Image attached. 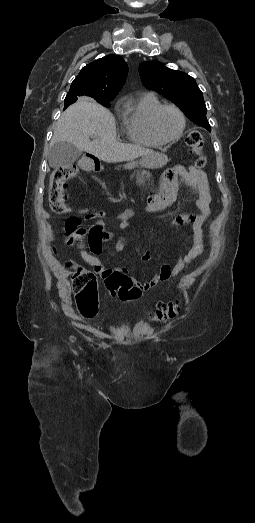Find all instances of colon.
Masks as SVG:
<instances>
[{
    "mask_svg": "<svg viewBox=\"0 0 255 523\" xmlns=\"http://www.w3.org/2000/svg\"><path fill=\"white\" fill-rule=\"evenodd\" d=\"M187 146L198 156L196 166L203 168L207 159L203 155L204 137L198 130H191L186 136ZM77 174V169L73 165L61 166L52 172L49 187V203L50 208L57 214H66L70 211L66 204L65 187L66 182L74 178ZM69 266L74 267L72 275V287L75 295L76 303L81 315L85 318H91L96 315L98 311V292L95 275L84 268L75 266L72 262H68ZM105 284L112 296H117L121 300L135 301L142 295L140 287L135 285L133 281L126 275L120 272H110L104 277ZM178 312L176 303L161 304L158 306L154 317L159 321L172 319Z\"/></svg>",
    "mask_w": 255,
    "mask_h": 523,
    "instance_id": "1",
    "label": "colon"
}]
</instances>
